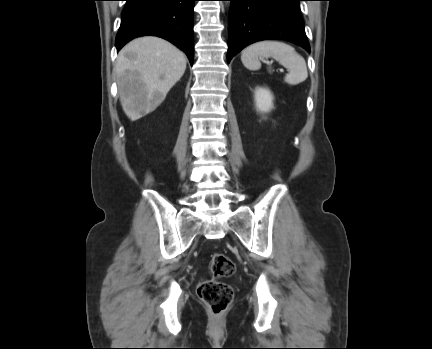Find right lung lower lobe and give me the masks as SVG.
Segmentation results:
<instances>
[{
  "label": "right lung lower lobe",
  "instance_id": "obj_1",
  "mask_svg": "<svg viewBox=\"0 0 432 349\" xmlns=\"http://www.w3.org/2000/svg\"><path fill=\"white\" fill-rule=\"evenodd\" d=\"M196 0H126L116 36L119 51L130 40L152 35L162 37L186 53L193 64V15Z\"/></svg>",
  "mask_w": 432,
  "mask_h": 349
}]
</instances>
